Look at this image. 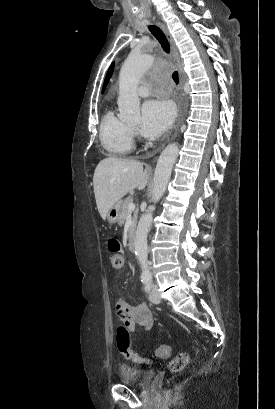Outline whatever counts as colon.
I'll list each match as a JSON object with an SVG mask.
<instances>
[{
    "instance_id": "5ec220e1",
    "label": "colon",
    "mask_w": 275,
    "mask_h": 409,
    "mask_svg": "<svg viewBox=\"0 0 275 409\" xmlns=\"http://www.w3.org/2000/svg\"><path fill=\"white\" fill-rule=\"evenodd\" d=\"M107 248L112 253V268L114 270H121L123 268V258L120 254V241L115 237L109 238L107 240ZM170 348L171 345L169 342H160L158 344V350L156 352L154 351L152 354L154 356L156 355L158 358H168L170 355ZM189 362V354L186 352H181L171 359L169 369L174 374L179 373L188 366Z\"/></svg>"
}]
</instances>
